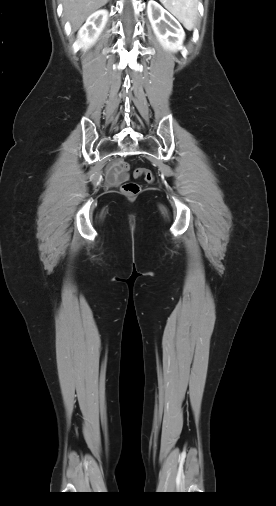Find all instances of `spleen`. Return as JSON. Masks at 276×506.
<instances>
[{
    "mask_svg": "<svg viewBox=\"0 0 276 506\" xmlns=\"http://www.w3.org/2000/svg\"><path fill=\"white\" fill-rule=\"evenodd\" d=\"M182 24L192 30L198 18V0H159Z\"/></svg>",
    "mask_w": 276,
    "mask_h": 506,
    "instance_id": "obj_1",
    "label": "spleen"
}]
</instances>
